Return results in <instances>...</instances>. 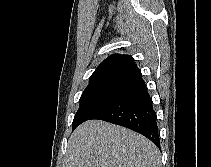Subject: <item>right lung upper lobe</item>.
<instances>
[{"mask_svg":"<svg viewBox=\"0 0 211 167\" xmlns=\"http://www.w3.org/2000/svg\"><path fill=\"white\" fill-rule=\"evenodd\" d=\"M140 70L130 55L114 54L105 59L91 75L89 83L99 80H133Z\"/></svg>","mask_w":211,"mask_h":167,"instance_id":"1","label":"right lung upper lobe"}]
</instances>
